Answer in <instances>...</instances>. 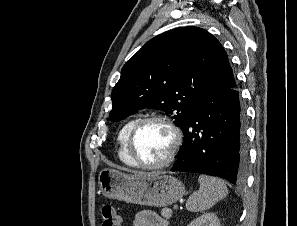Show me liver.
<instances>
[{
	"label": "liver",
	"instance_id": "obj_1",
	"mask_svg": "<svg viewBox=\"0 0 297 226\" xmlns=\"http://www.w3.org/2000/svg\"><path fill=\"white\" fill-rule=\"evenodd\" d=\"M148 175H151V174H148ZM135 176H143V174H141V173H136Z\"/></svg>",
	"mask_w": 297,
	"mask_h": 226
}]
</instances>
